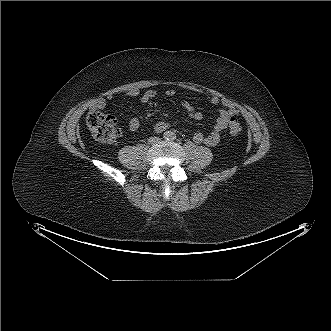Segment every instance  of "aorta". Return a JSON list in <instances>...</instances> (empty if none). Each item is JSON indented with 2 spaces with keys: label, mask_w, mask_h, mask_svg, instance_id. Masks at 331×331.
Here are the masks:
<instances>
[{
  "label": "aorta",
  "mask_w": 331,
  "mask_h": 331,
  "mask_svg": "<svg viewBox=\"0 0 331 331\" xmlns=\"http://www.w3.org/2000/svg\"><path fill=\"white\" fill-rule=\"evenodd\" d=\"M165 137H167V138H173L174 137V133L172 131H167V132H165Z\"/></svg>",
  "instance_id": "obj_1"
}]
</instances>
